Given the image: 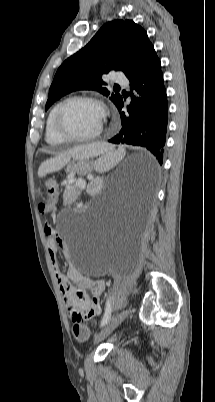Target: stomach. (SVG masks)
I'll list each match as a JSON object with an SVG mask.
<instances>
[{
	"label": "stomach",
	"mask_w": 215,
	"mask_h": 402,
	"mask_svg": "<svg viewBox=\"0 0 215 402\" xmlns=\"http://www.w3.org/2000/svg\"><path fill=\"white\" fill-rule=\"evenodd\" d=\"M93 167L90 166L82 159H75L72 162H69L67 166V171L71 173H75L80 176H84L92 171Z\"/></svg>",
	"instance_id": "obj_1"
}]
</instances>
